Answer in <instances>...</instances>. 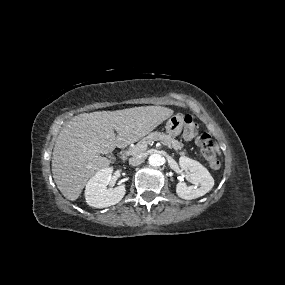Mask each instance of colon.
Wrapping results in <instances>:
<instances>
[{"label": "colon", "instance_id": "5ec220e1", "mask_svg": "<svg viewBox=\"0 0 285 285\" xmlns=\"http://www.w3.org/2000/svg\"><path fill=\"white\" fill-rule=\"evenodd\" d=\"M184 124V137L186 139L196 138V142L201 148L202 154L209 165L215 170L218 169L220 167V161L217 155L216 144L211 136L205 131L199 132L198 124L192 115L184 116Z\"/></svg>", "mask_w": 285, "mask_h": 285}]
</instances>
